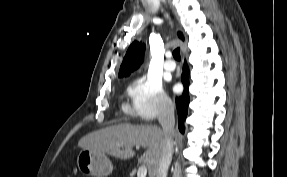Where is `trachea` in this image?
I'll use <instances>...</instances> for the list:
<instances>
[{"label":"trachea","mask_w":287,"mask_h":177,"mask_svg":"<svg viewBox=\"0 0 287 177\" xmlns=\"http://www.w3.org/2000/svg\"><path fill=\"white\" fill-rule=\"evenodd\" d=\"M173 57L175 60L180 61L181 60V56H180V48H176L173 51Z\"/></svg>","instance_id":"1"}]
</instances>
